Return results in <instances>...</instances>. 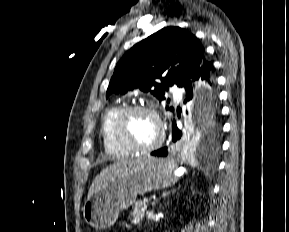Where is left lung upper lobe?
Here are the masks:
<instances>
[{"label": "left lung upper lobe", "instance_id": "obj_1", "mask_svg": "<svg viewBox=\"0 0 289 232\" xmlns=\"http://www.w3.org/2000/svg\"><path fill=\"white\" fill-rule=\"evenodd\" d=\"M204 53L202 44L191 32L165 27L123 55L115 67L106 98L140 89L150 91L159 101L164 100L169 86L184 87L193 78L205 58ZM157 80H161V84ZM220 133L221 123L216 112L183 136L182 147L213 153L219 148Z\"/></svg>", "mask_w": 289, "mask_h": 232}]
</instances>
